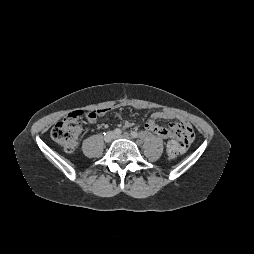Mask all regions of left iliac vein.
<instances>
[{
	"label": "left iliac vein",
	"mask_w": 254,
	"mask_h": 254,
	"mask_svg": "<svg viewBox=\"0 0 254 254\" xmlns=\"http://www.w3.org/2000/svg\"><path fill=\"white\" fill-rule=\"evenodd\" d=\"M116 138H125L132 140V136L129 133H124L123 135H117Z\"/></svg>",
	"instance_id": "1"
}]
</instances>
